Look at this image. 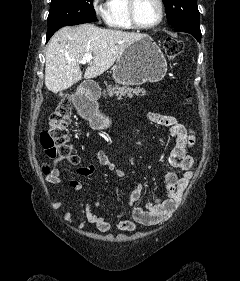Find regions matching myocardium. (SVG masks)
Listing matches in <instances>:
<instances>
[{
    "label": "myocardium",
    "mask_w": 240,
    "mask_h": 281,
    "mask_svg": "<svg viewBox=\"0 0 240 281\" xmlns=\"http://www.w3.org/2000/svg\"><path fill=\"white\" fill-rule=\"evenodd\" d=\"M159 5V18L151 25H143L138 21L136 14L137 0H128V16L132 26L136 29L150 30L158 27L164 20L165 16V4L164 0H157Z\"/></svg>",
    "instance_id": "1"
}]
</instances>
